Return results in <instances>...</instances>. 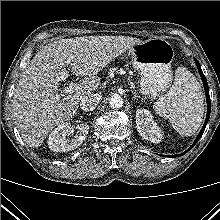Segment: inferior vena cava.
<instances>
[{
    "label": "inferior vena cava",
    "mask_w": 220,
    "mask_h": 220,
    "mask_svg": "<svg viewBox=\"0 0 220 220\" xmlns=\"http://www.w3.org/2000/svg\"><path fill=\"white\" fill-rule=\"evenodd\" d=\"M100 100L101 96L98 93L84 96L81 99L80 108L86 112L93 111L99 104Z\"/></svg>",
    "instance_id": "1"
}]
</instances>
